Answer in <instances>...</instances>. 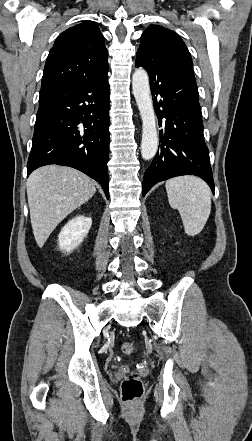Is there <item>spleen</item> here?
Masks as SVG:
<instances>
[{"label":"spleen","instance_id":"spleen-1","mask_svg":"<svg viewBox=\"0 0 252 441\" xmlns=\"http://www.w3.org/2000/svg\"><path fill=\"white\" fill-rule=\"evenodd\" d=\"M165 187L170 206L180 213L185 233L199 234L211 212V190L207 183L195 176H183L168 180Z\"/></svg>","mask_w":252,"mask_h":441}]
</instances>
